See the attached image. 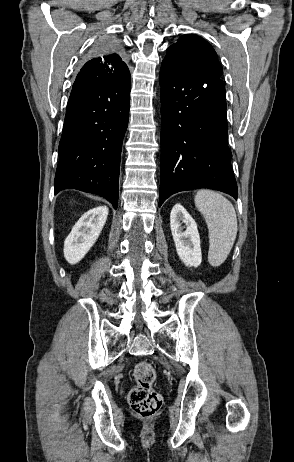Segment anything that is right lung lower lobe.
<instances>
[{"label":"right lung lower lobe","mask_w":294,"mask_h":462,"mask_svg":"<svg viewBox=\"0 0 294 462\" xmlns=\"http://www.w3.org/2000/svg\"><path fill=\"white\" fill-rule=\"evenodd\" d=\"M131 79L71 92L59 143L55 194L95 193L117 208L120 155L129 116Z\"/></svg>","instance_id":"obj_1"}]
</instances>
